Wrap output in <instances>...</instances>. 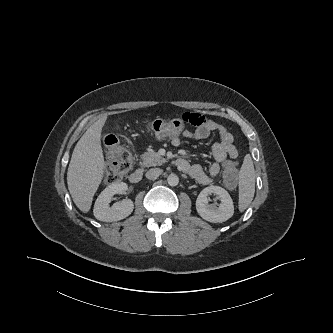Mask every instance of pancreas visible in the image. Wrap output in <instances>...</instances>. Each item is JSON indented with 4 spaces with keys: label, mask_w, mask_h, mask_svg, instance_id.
<instances>
[{
    "label": "pancreas",
    "mask_w": 333,
    "mask_h": 333,
    "mask_svg": "<svg viewBox=\"0 0 333 333\" xmlns=\"http://www.w3.org/2000/svg\"><path fill=\"white\" fill-rule=\"evenodd\" d=\"M142 165L144 167L162 165L166 162V159L163 158L159 153L154 150H149L141 155Z\"/></svg>",
    "instance_id": "obj_1"
}]
</instances>
